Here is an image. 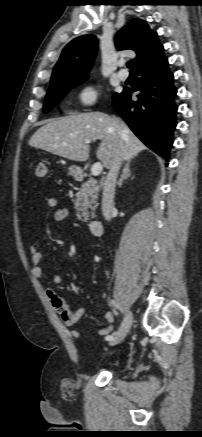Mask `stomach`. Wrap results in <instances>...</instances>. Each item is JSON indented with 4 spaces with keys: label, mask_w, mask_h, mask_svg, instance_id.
<instances>
[{
    "label": "stomach",
    "mask_w": 202,
    "mask_h": 437,
    "mask_svg": "<svg viewBox=\"0 0 202 437\" xmlns=\"http://www.w3.org/2000/svg\"><path fill=\"white\" fill-rule=\"evenodd\" d=\"M68 171L71 176L76 177L80 172V168L78 166L73 165L69 167Z\"/></svg>",
    "instance_id": "0dacf381"
}]
</instances>
